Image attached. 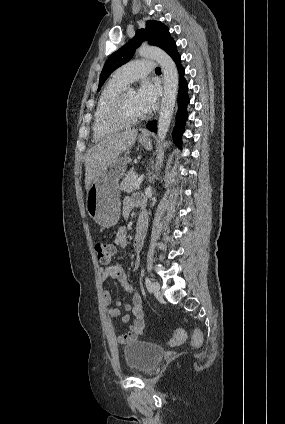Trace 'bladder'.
Returning a JSON list of instances; mask_svg holds the SVG:
<instances>
[{"mask_svg": "<svg viewBox=\"0 0 285 424\" xmlns=\"http://www.w3.org/2000/svg\"><path fill=\"white\" fill-rule=\"evenodd\" d=\"M128 369L143 374L153 371L163 358V349L145 341H133L122 348Z\"/></svg>", "mask_w": 285, "mask_h": 424, "instance_id": "obj_1", "label": "bladder"}]
</instances>
